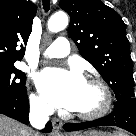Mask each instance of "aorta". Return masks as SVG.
<instances>
[{"mask_svg": "<svg viewBox=\"0 0 136 136\" xmlns=\"http://www.w3.org/2000/svg\"><path fill=\"white\" fill-rule=\"evenodd\" d=\"M68 21V16L65 12H57L49 18L48 30L53 33L59 32L67 27Z\"/></svg>", "mask_w": 136, "mask_h": 136, "instance_id": "aorta-1", "label": "aorta"}]
</instances>
